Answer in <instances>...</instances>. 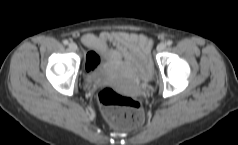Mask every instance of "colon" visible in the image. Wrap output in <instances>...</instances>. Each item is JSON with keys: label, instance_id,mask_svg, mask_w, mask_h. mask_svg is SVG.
Instances as JSON below:
<instances>
[{"label": "colon", "instance_id": "colon-1", "mask_svg": "<svg viewBox=\"0 0 238 145\" xmlns=\"http://www.w3.org/2000/svg\"><path fill=\"white\" fill-rule=\"evenodd\" d=\"M98 61L99 57L96 54H89L86 69ZM97 97L105 118L114 126L132 129L142 123L144 112L142 103L137 98L120 94L111 87L101 88Z\"/></svg>", "mask_w": 238, "mask_h": 145}]
</instances>
